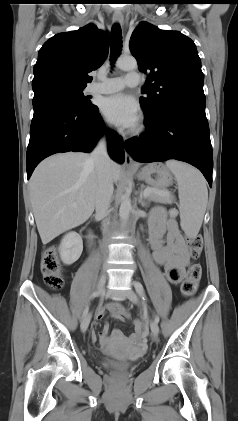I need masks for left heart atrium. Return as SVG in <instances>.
<instances>
[{"label":"left heart atrium","instance_id":"1","mask_svg":"<svg viewBox=\"0 0 238 421\" xmlns=\"http://www.w3.org/2000/svg\"><path fill=\"white\" fill-rule=\"evenodd\" d=\"M101 111L109 122L124 128H133L139 120L137 102L130 96L119 93L105 98Z\"/></svg>","mask_w":238,"mask_h":421}]
</instances>
